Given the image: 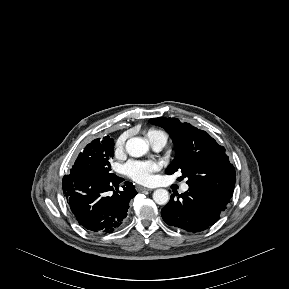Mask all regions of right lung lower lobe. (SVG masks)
Here are the masks:
<instances>
[{"label":"right lung lower lobe","instance_id":"right-lung-lower-lobe-1","mask_svg":"<svg viewBox=\"0 0 289 289\" xmlns=\"http://www.w3.org/2000/svg\"><path fill=\"white\" fill-rule=\"evenodd\" d=\"M70 171L64 176L62 187L78 223L92 232L111 233L127 216L129 202L137 194L134 185L126 182L119 191L123 179L114 174L95 178L77 170ZM109 191H113V195H108Z\"/></svg>","mask_w":289,"mask_h":289}]
</instances>
